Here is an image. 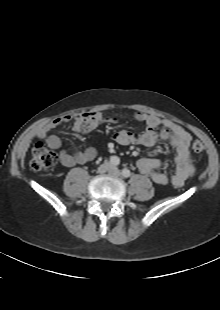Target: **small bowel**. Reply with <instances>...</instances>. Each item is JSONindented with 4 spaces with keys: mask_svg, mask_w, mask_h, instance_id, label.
Returning a JSON list of instances; mask_svg holds the SVG:
<instances>
[{
    "mask_svg": "<svg viewBox=\"0 0 220 310\" xmlns=\"http://www.w3.org/2000/svg\"><path fill=\"white\" fill-rule=\"evenodd\" d=\"M134 119L146 123V129L138 135L127 130H119L112 134L111 139L119 145L138 144L145 147L152 146L157 139L169 142L175 149V171L169 177L162 171L164 165L156 158L143 157L137 161L138 170L158 185H166L169 181L174 186L181 187L194 173V165L190 153L191 135L179 124L155 115L135 112ZM73 121V130L79 134H88L102 124H115L116 117H106L102 112L89 111L55 118L44 124L37 132L38 138L44 140L52 149H60L62 143L58 136L50 134L56 127ZM161 128L157 133L156 129ZM97 157V150L93 147L71 153L66 150L59 151L62 165L73 167L93 161Z\"/></svg>",
    "mask_w": 220,
    "mask_h": 310,
    "instance_id": "obj_1",
    "label": "small bowel"
}]
</instances>
